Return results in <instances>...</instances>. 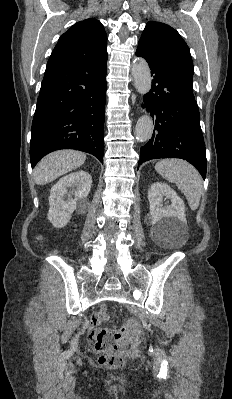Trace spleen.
Listing matches in <instances>:
<instances>
[{"instance_id": "3e777b00", "label": "spleen", "mask_w": 232, "mask_h": 399, "mask_svg": "<svg viewBox=\"0 0 232 399\" xmlns=\"http://www.w3.org/2000/svg\"><path fill=\"white\" fill-rule=\"evenodd\" d=\"M156 172L176 184L186 196L191 209H197L203 190L202 178L194 166L184 160H160L155 166Z\"/></svg>"}]
</instances>
